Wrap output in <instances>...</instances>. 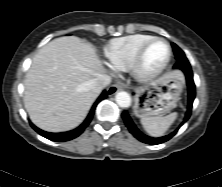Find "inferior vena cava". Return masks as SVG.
Segmentation results:
<instances>
[{
    "instance_id": "1",
    "label": "inferior vena cava",
    "mask_w": 222,
    "mask_h": 187,
    "mask_svg": "<svg viewBox=\"0 0 222 187\" xmlns=\"http://www.w3.org/2000/svg\"><path fill=\"white\" fill-rule=\"evenodd\" d=\"M111 83V77L106 74H100L97 78L93 79L90 83L91 89L95 93H100Z\"/></svg>"
}]
</instances>
